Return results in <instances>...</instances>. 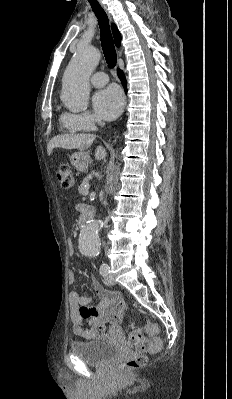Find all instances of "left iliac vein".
Masks as SVG:
<instances>
[{"label":"left iliac vein","mask_w":232,"mask_h":399,"mask_svg":"<svg viewBox=\"0 0 232 399\" xmlns=\"http://www.w3.org/2000/svg\"><path fill=\"white\" fill-rule=\"evenodd\" d=\"M114 282H115V279L111 278V275H110V277H106V283H109L110 286H113Z\"/></svg>","instance_id":"left-iliac-vein-1"}]
</instances>
